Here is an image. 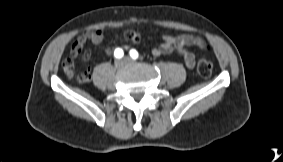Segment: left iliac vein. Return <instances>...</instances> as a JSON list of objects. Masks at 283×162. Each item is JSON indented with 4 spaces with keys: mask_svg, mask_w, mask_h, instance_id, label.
<instances>
[{
    "mask_svg": "<svg viewBox=\"0 0 283 162\" xmlns=\"http://www.w3.org/2000/svg\"><path fill=\"white\" fill-rule=\"evenodd\" d=\"M123 61L125 62V64L134 63V61H133L131 58H129V57H125V58L123 59Z\"/></svg>",
    "mask_w": 283,
    "mask_h": 162,
    "instance_id": "left-iliac-vein-1",
    "label": "left iliac vein"
}]
</instances>
